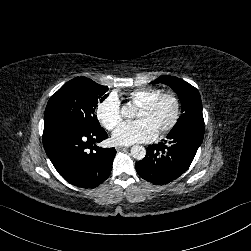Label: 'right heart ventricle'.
<instances>
[{
    "label": "right heart ventricle",
    "mask_w": 251,
    "mask_h": 251,
    "mask_svg": "<svg viewBox=\"0 0 251 251\" xmlns=\"http://www.w3.org/2000/svg\"><path fill=\"white\" fill-rule=\"evenodd\" d=\"M161 93H163V89L161 88H153V87L138 88L129 93V99L131 103H135L141 106L143 104L148 103Z\"/></svg>",
    "instance_id": "1"
}]
</instances>
